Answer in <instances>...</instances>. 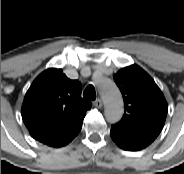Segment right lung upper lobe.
Returning a JSON list of instances; mask_svg holds the SVG:
<instances>
[{
  "instance_id": "cb5924a9",
  "label": "right lung upper lobe",
  "mask_w": 184,
  "mask_h": 174,
  "mask_svg": "<svg viewBox=\"0 0 184 174\" xmlns=\"http://www.w3.org/2000/svg\"><path fill=\"white\" fill-rule=\"evenodd\" d=\"M82 86L62 69L42 72L28 89L22 118L31 136L51 147H61L80 132L91 102L81 97Z\"/></svg>"
}]
</instances>
